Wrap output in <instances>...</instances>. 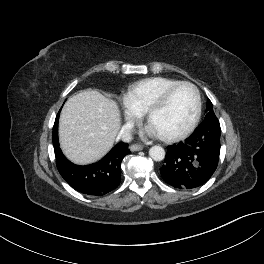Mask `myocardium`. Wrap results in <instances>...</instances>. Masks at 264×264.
<instances>
[{
    "label": "myocardium",
    "mask_w": 264,
    "mask_h": 264,
    "mask_svg": "<svg viewBox=\"0 0 264 264\" xmlns=\"http://www.w3.org/2000/svg\"><path fill=\"white\" fill-rule=\"evenodd\" d=\"M180 86H189L193 89L196 97L195 113L190 123L182 131L171 135L158 134L159 138L165 142H176L187 137L197 126L202 114V98L198 87L189 81H178L167 87L158 97V99L155 102H153L151 106L148 108V110L146 111L147 123L148 124L150 123L151 117L154 115V113H156L158 110H160L167 104L171 94Z\"/></svg>",
    "instance_id": "1"
}]
</instances>
